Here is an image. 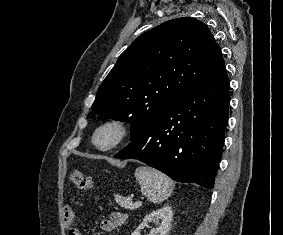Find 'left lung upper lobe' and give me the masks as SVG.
<instances>
[{"instance_id":"obj_1","label":"left lung upper lobe","mask_w":283,"mask_h":235,"mask_svg":"<svg viewBox=\"0 0 283 235\" xmlns=\"http://www.w3.org/2000/svg\"><path fill=\"white\" fill-rule=\"evenodd\" d=\"M224 66L208 27L194 18L173 19L139 36L100 85L92 110L131 123L142 134L187 90Z\"/></svg>"}]
</instances>
